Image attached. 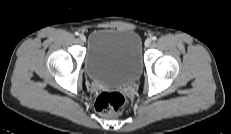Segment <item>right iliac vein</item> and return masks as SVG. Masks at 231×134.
<instances>
[{
    "instance_id": "63e3f726",
    "label": "right iliac vein",
    "mask_w": 231,
    "mask_h": 134,
    "mask_svg": "<svg viewBox=\"0 0 231 134\" xmlns=\"http://www.w3.org/2000/svg\"><path fill=\"white\" fill-rule=\"evenodd\" d=\"M79 39H80L81 42H85L86 41V37L83 34H80Z\"/></svg>"
}]
</instances>
